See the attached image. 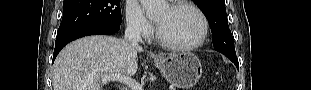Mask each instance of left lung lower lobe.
<instances>
[{
    "mask_svg": "<svg viewBox=\"0 0 311 90\" xmlns=\"http://www.w3.org/2000/svg\"><path fill=\"white\" fill-rule=\"evenodd\" d=\"M226 57H228L236 65V67L239 68V63H238L237 57H233V56H226Z\"/></svg>",
    "mask_w": 311,
    "mask_h": 90,
    "instance_id": "left-lung-lower-lobe-1",
    "label": "left lung lower lobe"
}]
</instances>
